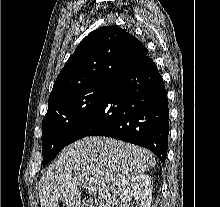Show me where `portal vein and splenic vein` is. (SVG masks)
<instances>
[{"label": "portal vein and splenic vein", "mask_w": 220, "mask_h": 207, "mask_svg": "<svg viewBox=\"0 0 220 207\" xmlns=\"http://www.w3.org/2000/svg\"><path fill=\"white\" fill-rule=\"evenodd\" d=\"M88 192L90 194H93V193H96L97 192V189L95 187H88Z\"/></svg>", "instance_id": "obj_1"}]
</instances>
